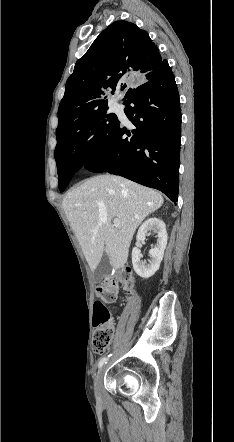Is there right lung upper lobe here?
I'll use <instances>...</instances> for the list:
<instances>
[{"label": "right lung upper lobe", "instance_id": "cb5924a9", "mask_svg": "<svg viewBox=\"0 0 234 442\" xmlns=\"http://www.w3.org/2000/svg\"><path fill=\"white\" fill-rule=\"evenodd\" d=\"M168 62L146 31L127 21L109 25L80 58L58 109L57 144L89 114L108 107L106 92L124 90L133 78L150 80ZM136 88L126 91L124 101Z\"/></svg>", "mask_w": 234, "mask_h": 442}]
</instances>
